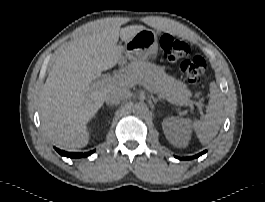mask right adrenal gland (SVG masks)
<instances>
[{
  "label": "right adrenal gland",
  "instance_id": "2a0ac1e0",
  "mask_svg": "<svg viewBox=\"0 0 265 202\" xmlns=\"http://www.w3.org/2000/svg\"><path fill=\"white\" fill-rule=\"evenodd\" d=\"M107 107H113L114 105L113 104H108L106 103Z\"/></svg>",
  "mask_w": 265,
  "mask_h": 202
}]
</instances>
